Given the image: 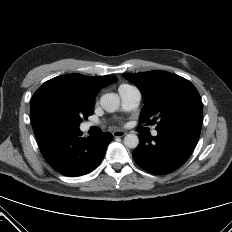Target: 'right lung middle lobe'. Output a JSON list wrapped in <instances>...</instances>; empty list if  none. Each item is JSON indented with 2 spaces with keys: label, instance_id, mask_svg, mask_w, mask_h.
Returning a JSON list of instances; mask_svg holds the SVG:
<instances>
[{
  "label": "right lung middle lobe",
  "instance_id": "dd1d6c3e",
  "mask_svg": "<svg viewBox=\"0 0 232 232\" xmlns=\"http://www.w3.org/2000/svg\"><path fill=\"white\" fill-rule=\"evenodd\" d=\"M93 104L73 88L42 91L31 101V120L36 133L77 131L82 119L93 114Z\"/></svg>",
  "mask_w": 232,
  "mask_h": 232
}]
</instances>
